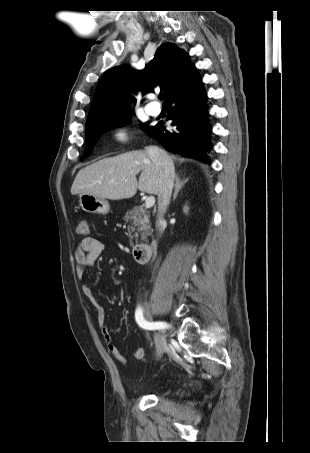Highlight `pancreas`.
Listing matches in <instances>:
<instances>
[{"label":"pancreas","mask_w":310,"mask_h":453,"mask_svg":"<svg viewBox=\"0 0 310 453\" xmlns=\"http://www.w3.org/2000/svg\"><path fill=\"white\" fill-rule=\"evenodd\" d=\"M123 219L126 223H129L128 229L131 240L137 239L139 233L142 236V240H144L152 232L149 211L143 206H136L132 210L127 211ZM132 233L134 234L131 235Z\"/></svg>","instance_id":"pancreas-1"}]
</instances>
